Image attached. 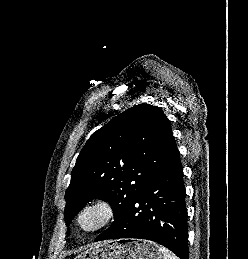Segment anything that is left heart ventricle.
Returning a JSON list of instances; mask_svg holds the SVG:
<instances>
[{"instance_id": "1", "label": "left heart ventricle", "mask_w": 248, "mask_h": 259, "mask_svg": "<svg viewBox=\"0 0 248 259\" xmlns=\"http://www.w3.org/2000/svg\"><path fill=\"white\" fill-rule=\"evenodd\" d=\"M101 214L98 210H93L86 213L82 219L83 225L90 227L94 225L100 218Z\"/></svg>"}]
</instances>
